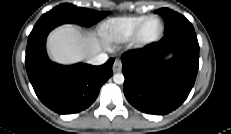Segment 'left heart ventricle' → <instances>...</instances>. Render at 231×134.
Masks as SVG:
<instances>
[{
    "label": "left heart ventricle",
    "mask_w": 231,
    "mask_h": 134,
    "mask_svg": "<svg viewBox=\"0 0 231 134\" xmlns=\"http://www.w3.org/2000/svg\"><path fill=\"white\" fill-rule=\"evenodd\" d=\"M160 30V22L157 19L150 20L144 29V38L150 39L154 37Z\"/></svg>",
    "instance_id": "obj_1"
}]
</instances>
